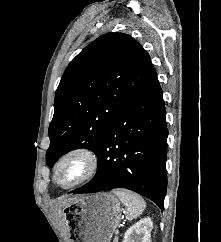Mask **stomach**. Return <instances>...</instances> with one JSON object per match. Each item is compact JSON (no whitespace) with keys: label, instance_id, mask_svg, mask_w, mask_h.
I'll use <instances>...</instances> for the list:
<instances>
[{"label":"stomach","instance_id":"obj_1","mask_svg":"<svg viewBox=\"0 0 221 242\" xmlns=\"http://www.w3.org/2000/svg\"><path fill=\"white\" fill-rule=\"evenodd\" d=\"M64 210L71 242H110L121 220L120 202L107 192L76 197Z\"/></svg>","mask_w":221,"mask_h":242}]
</instances>
